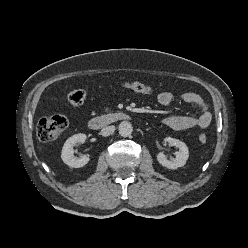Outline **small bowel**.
<instances>
[{
	"mask_svg": "<svg viewBox=\"0 0 248 248\" xmlns=\"http://www.w3.org/2000/svg\"><path fill=\"white\" fill-rule=\"evenodd\" d=\"M182 101L195 105L199 110L198 116L171 115L163 119V124L175 131H188L196 128H207L212 120L209 105L205 99L197 93L185 92L180 95ZM159 104L167 106L174 100L173 93L162 91L158 94Z\"/></svg>",
	"mask_w": 248,
	"mask_h": 248,
	"instance_id": "1",
	"label": "small bowel"
}]
</instances>
